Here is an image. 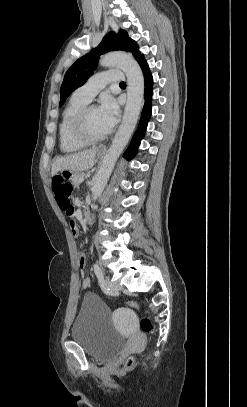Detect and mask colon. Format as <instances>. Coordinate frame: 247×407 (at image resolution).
<instances>
[{
    "label": "colon",
    "mask_w": 247,
    "mask_h": 407,
    "mask_svg": "<svg viewBox=\"0 0 247 407\" xmlns=\"http://www.w3.org/2000/svg\"><path fill=\"white\" fill-rule=\"evenodd\" d=\"M52 189L59 208L62 211L68 209V207L71 204L70 197L73 192L72 184L65 180L64 178L57 176L52 181ZM126 304L133 309H136L138 307V304L134 301H128ZM141 328L144 332L151 333L154 329V326L149 318H145L141 321ZM133 365L134 359L129 358L125 362L123 369L124 370L130 369Z\"/></svg>",
    "instance_id": "5ec220e1"
}]
</instances>
